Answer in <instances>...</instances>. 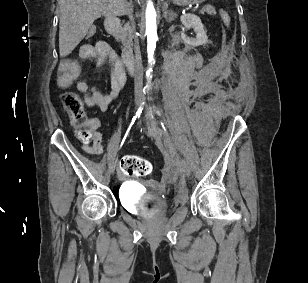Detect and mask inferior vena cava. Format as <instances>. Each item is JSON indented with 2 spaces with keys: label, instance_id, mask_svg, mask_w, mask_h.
<instances>
[{
  "label": "inferior vena cava",
  "instance_id": "inferior-vena-cava-1",
  "mask_svg": "<svg viewBox=\"0 0 308 283\" xmlns=\"http://www.w3.org/2000/svg\"><path fill=\"white\" fill-rule=\"evenodd\" d=\"M125 13L129 16L127 18V23L129 25V35H131L132 38V44L136 45L138 42V39L136 35L134 34V24H133V6L132 4H126L125 5ZM143 80V71H142V64H141V55L138 46H135V76H134V82L135 87L138 88L142 84Z\"/></svg>",
  "mask_w": 308,
  "mask_h": 283
}]
</instances>
